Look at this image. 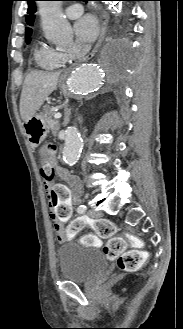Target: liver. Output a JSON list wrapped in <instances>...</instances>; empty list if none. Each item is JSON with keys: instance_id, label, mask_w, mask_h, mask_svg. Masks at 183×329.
Listing matches in <instances>:
<instances>
[{"instance_id": "6515ba94", "label": "liver", "mask_w": 183, "mask_h": 329, "mask_svg": "<svg viewBox=\"0 0 183 329\" xmlns=\"http://www.w3.org/2000/svg\"><path fill=\"white\" fill-rule=\"evenodd\" d=\"M59 73L33 70L26 76L20 97V115L30 119L55 89Z\"/></svg>"}]
</instances>
